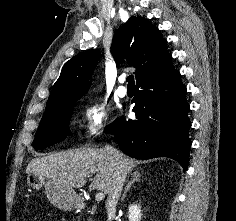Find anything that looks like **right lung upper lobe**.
<instances>
[{"instance_id":"right-lung-upper-lobe-1","label":"right lung upper lobe","mask_w":236,"mask_h":221,"mask_svg":"<svg viewBox=\"0 0 236 221\" xmlns=\"http://www.w3.org/2000/svg\"><path fill=\"white\" fill-rule=\"evenodd\" d=\"M166 43L159 29L148 20L133 16L116 32L111 52L116 62L125 60L136 68L135 77L139 81L171 57ZM98 59V50H89L71 58L52 88L45 112L82 97L90 87L89 80Z\"/></svg>"}]
</instances>
